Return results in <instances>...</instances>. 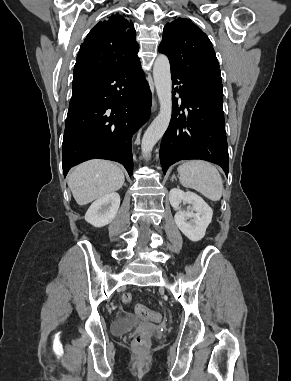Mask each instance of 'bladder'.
<instances>
[{
  "mask_svg": "<svg viewBox=\"0 0 291 381\" xmlns=\"http://www.w3.org/2000/svg\"><path fill=\"white\" fill-rule=\"evenodd\" d=\"M143 323V320L136 316H122L115 318L111 324V331L114 334L126 333Z\"/></svg>",
  "mask_w": 291,
  "mask_h": 381,
  "instance_id": "bladder-1",
  "label": "bladder"
}]
</instances>
